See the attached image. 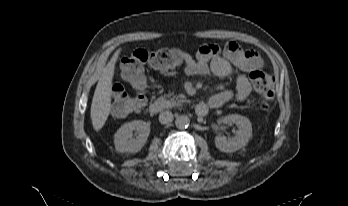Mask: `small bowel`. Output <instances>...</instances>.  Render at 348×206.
I'll return each instance as SVG.
<instances>
[{
    "instance_id": "c3829d8e",
    "label": "small bowel",
    "mask_w": 348,
    "mask_h": 206,
    "mask_svg": "<svg viewBox=\"0 0 348 206\" xmlns=\"http://www.w3.org/2000/svg\"><path fill=\"white\" fill-rule=\"evenodd\" d=\"M262 65L257 52L231 41L222 51H216V47L206 44L199 47L195 57L185 54L184 71L189 75H205L212 72L220 78H234V90L221 91L210 98L211 108L217 109L231 101H243L251 93V84L247 76L235 68L247 72L260 69Z\"/></svg>"
}]
</instances>
